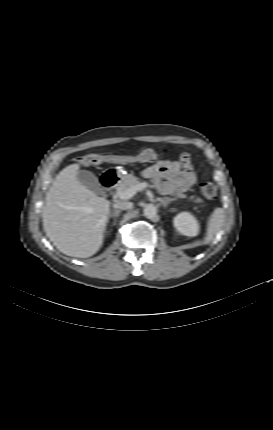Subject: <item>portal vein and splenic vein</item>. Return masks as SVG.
Instances as JSON below:
<instances>
[{
    "instance_id": "18ae733b",
    "label": "portal vein and splenic vein",
    "mask_w": 273,
    "mask_h": 430,
    "mask_svg": "<svg viewBox=\"0 0 273 430\" xmlns=\"http://www.w3.org/2000/svg\"><path fill=\"white\" fill-rule=\"evenodd\" d=\"M148 187V184L147 183H139V184H137V185H135V186H132V187H130V188H128L127 190H125V191H120V192H117L116 193V196L118 197V198H120V199H124V200H126V199H130V198H132L138 191H141V190H143V189H145V188H147Z\"/></svg>"
}]
</instances>
